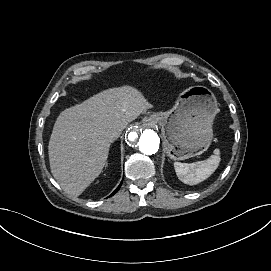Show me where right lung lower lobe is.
Masks as SVG:
<instances>
[{
	"label": "right lung lower lobe",
	"mask_w": 271,
	"mask_h": 271,
	"mask_svg": "<svg viewBox=\"0 0 271 271\" xmlns=\"http://www.w3.org/2000/svg\"><path fill=\"white\" fill-rule=\"evenodd\" d=\"M120 186H121V184L117 187V189L110 196L114 195L119 190Z\"/></svg>",
	"instance_id": "1"
}]
</instances>
